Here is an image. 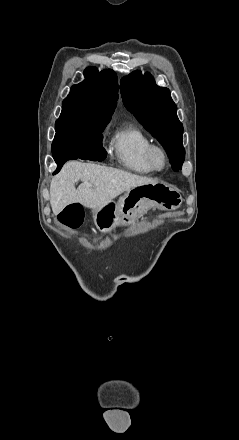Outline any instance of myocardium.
Wrapping results in <instances>:
<instances>
[{"mask_svg":"<svg viewBox=\"0 0 239 440\" xmlns=\"http://www.w3.org/2000/svg\"><path fill=\"white\" fill-rule=\"evenodd\" d=\"M148 161L154 171L161 172L168 166V154L162 146L152 144L148 150Z\"/></svg>","mask_w":239,"mask_h":440,"instance_id":"f54148a6","label":"myocardium"}]
</instances>
